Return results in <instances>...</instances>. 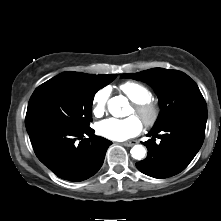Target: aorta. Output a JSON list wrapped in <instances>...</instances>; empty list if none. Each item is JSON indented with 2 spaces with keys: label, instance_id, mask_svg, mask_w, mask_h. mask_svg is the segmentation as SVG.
Masks as SVG:
<instances>
[{
  "label": "aorta",
  "instance_id": "1",
  "mask_svg": "<svg viewBox=\"0 0 221 221\" xmlns=\"http://www.w3.org/2000/svg\"><path fill=\"white\" fill-rule=\"evenodd\" d=\"M125 99L122 96H115L108 101L109 112L113 116H119L120 107L124 105ZM132 157L137 160H142L145 157L146 150L142 145H135L130 151Z\"/></svg>",
  "mask_w": 221,
  "mask_h": 221
}]
</instances>
